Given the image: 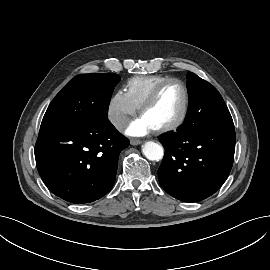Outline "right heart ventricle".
<instances>
[{"instance_id":"right-heart-ventricle-1","label":"right heart ventricle","mask_w":270,"mask_h":270,"mask_svg":"<svg viewBox=\"0 0 270 270\" xmlns=\"http://www.w3.org/2000/svg\"><path fill=\"white\" fill-rule=\"evenodd\" d=\"M164 75L135 76L127 80L124 89L133 105L139 109L152 90L161 82L170 79Z\"/></svg>"}]
</instances>
